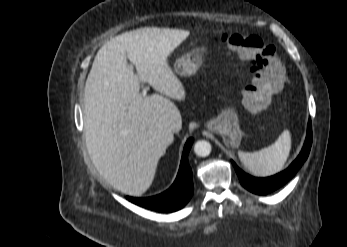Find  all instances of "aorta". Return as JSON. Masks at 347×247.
Wrapping results in <instances>:
<instances>
[{
	"instance_id": "obj_1",
	"label": "aorta",
	"mask_w": 347,
	"mask_h": 247,
	"mask_svg": "<svg viewBox=\"0 0 347 247\" xmlns=\"http://www.w3.org/2000/svg\"><path fill=\"white\" fill-rule=\"evenodd\" d=\"M211 144L205 140H199L194 145V152L199 157H207L211 153Z\"/></svg>"
}]
</instances>
